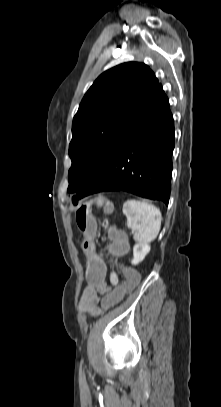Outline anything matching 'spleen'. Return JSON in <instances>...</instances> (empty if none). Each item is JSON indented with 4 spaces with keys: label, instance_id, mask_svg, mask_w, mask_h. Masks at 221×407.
Listing matches in <instances>:
<instances>
[{
    "label": "spleen",
    "instance_id": "obj_1",
    "mask_svg": "<svg viewBox=\"0 0 221 407\" xmlns=\"http://www.w3.org/2000/svg\"><path fill=\"white\" fill-rule=\"evenodd\" d=\"M123 213L127 218V227L133 232L134 240L148 243L159 234L162 214L153 204L130 199L123 204Z\"/></svg>",
    "mask_w": 221,
    "mask_h": 407
}]
</instances>
